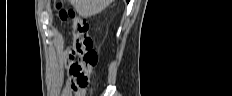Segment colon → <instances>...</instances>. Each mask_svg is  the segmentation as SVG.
<instances>
[{
	"mask_svg": "<svg viewBox=\"0 0 232 96\" xmlns=\"http://www.w3.org/2000/svg\"><path fill=\"white\" fill-rule=\"evenodd\" d=\"M59 15L63 21H70L74 36L73 45L70 52L72 63L69 73L76 76V95L85 94V90L90 84L89 75L85 74L83 68L92 69L98 64L99 55L94 47L93 40L88 36V22L75 14L71 9H64L58 5ZM77 58V61L74 59Z\"/></svg>",
	"mask_w": 232,
	"mask_h": 96,
	"instance_id": "1",
	"label": "colon"
}]
</instances>
